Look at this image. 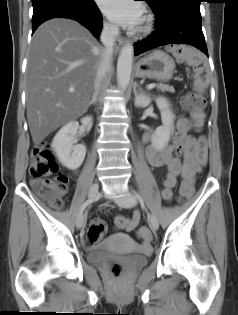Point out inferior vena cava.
Returning a JSON list of instances; mask_svg holds the SVG:
<instances>
[{"label": "inferior vena cava", "mask_w": 238, "mask_h": 315, "mask_svg": "<svg viewBox=\"0 0 238 315\" xmlns=\"http://www.w3.org/2000/svg\"><path fill=\"white\" fill-rule=\"evenodd\" d=\"M118 33H119V30L117 26L110 23H105L103 25V29L100 35V41L102 42L104 48L102 49L101 58L98 63V67L96 71V77H95V83H94V89H95L94 95L96 91H99L103 78L105 77L106 73L110 70L112 54H113V46H114V42Z\"/></svg>", "instance_id": "602c4592"}]
</instances>
